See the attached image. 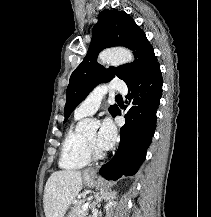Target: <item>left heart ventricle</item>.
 I'll return each mask as SVG.
<instances>
[{
  "instance_id": "left-heart-ventricle-1",
  "label": "left heart ventricle",
  "mask_w": 211,
  "mask_h": 217,
  "mask_svg": "<svg viewBox=\"0 0 211 217\" xmlns=\"http://www.w3.org/2000/svg\"><path fill=\"white\" fill-rule=\"evenodd\" d=\"M86 138H87L88 140H90L91 142H93V143L95 144V146H96V133H95V132H92V133L88 134V135L86 136ZM96 147H97V146H96Z\"/></svg>"
}]
</instances>
